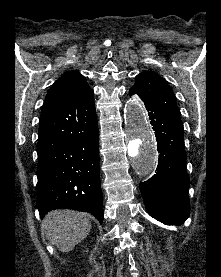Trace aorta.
<instances>
[{
  "label": "aorta",
  "mask_w": 221,
  "mask_h": 277,
  "mask_svg": "<svg viewBox=\"0 0 221 277\" xmlns=\"http://www.w3.org/2000/svg\"><path fill=\"white\" fill-rule=\"evenodd\" d=\"M124 131L135 171L150 175L157 166L158 154L152 129L141 102L129 100L124 109Z\"/></svg>",
  "instance_id": "1"
}]
</instances>
